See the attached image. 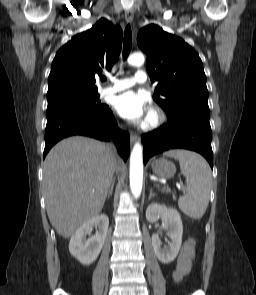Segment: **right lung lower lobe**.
<instances>
[{"label":"right lung lower lobe","instance_id":"98d812e1","mask_svg":"<svg viewBox=\"0 0 256 295\" xmlns=\"http://www.w3.org/2000/svg\"><path fill=\"white\" fill-rule=\"evenodd\" d=\"M45 149L43 158L51 147L71 135H85L99 140H109L117 122L107 105L100 109H85L73 105H48L46 111ZM118 153L127 160L130 137L127 132L116 130Z\"/></svg>","mask_w":256,"mask_h":295}]
</instances>
